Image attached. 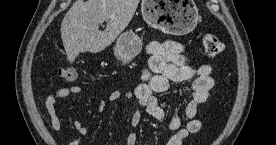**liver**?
<instances>
[{"label":"liver","instance_id":"6515ba94","mask_svg":"<svg viewBox=\"0 0 276 145\" xmlns=\"http://www.w3.org/2000/svg\"><path fill=\"white\" fill-rule=\"evenodd\" d=\"M140 0H76L61 23V38L69 62L81 52L98 53L130 23ZM113 16V18H111ZM106 21L104 31L100 23Z\"/></svg>","mask_w":276,"mask_h":145}]
</instances>
